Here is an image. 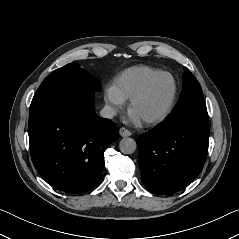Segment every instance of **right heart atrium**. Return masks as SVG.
<instances>
[{
    "label": "right heart atrium",
    "instance_id": "obj_1",
    "mask_svg": "<svg viewBox=\"0 0 239 239\" xmlns=\"http://www.w3.org/2000/svg\"><path fill=\"white\" fill-rule=\"evenodd\" d=\"M104 103L107 112L114 115L124 105L125 99L117 92L114 85H108L104 89Z\"/></svg>",
    "mask_w": 239,
    "mask_h": 239
}]
</instances>
